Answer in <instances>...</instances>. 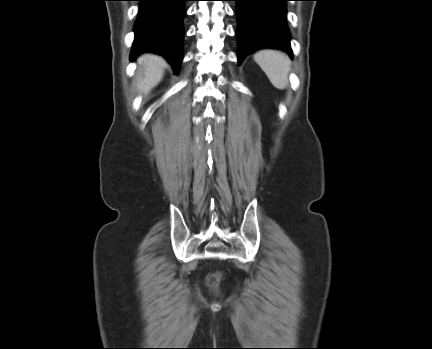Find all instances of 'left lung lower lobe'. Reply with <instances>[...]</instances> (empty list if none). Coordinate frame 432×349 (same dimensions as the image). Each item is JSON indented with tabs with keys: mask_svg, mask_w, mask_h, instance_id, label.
Segmentation results:
<instances>
[{
	"mask_svg": "<svg viewBox=\"0 0 432 349\" xmlns=\"http://www.w3.org/2000/svg\"><path fill=\"white\" fill-rule=\"evenodd\" d=\"M238 18V62L261 48L286 51L292 57L285 23L288 0H234Z\"/></svg>",
	"mask_w": 432,
	"mask_h": 349,
	"instance_id": "obj_1",
	"label": "left lung lower lobe"
}]
</instances>
